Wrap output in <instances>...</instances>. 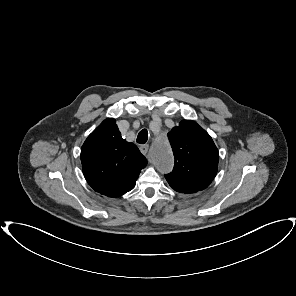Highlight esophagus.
Instances as JSON below:
<instances>
[{
	"instance_id": "1",
	"label": "esophagus",
	"mask_w": 296,
	"mask_h": 296,
	"mask_svg": "<svg viewBox=\"0 0 296 296\" xmlns=\"http://www.w3.org/2000/svg\"><path fill=\"white\" fill-rule=\"evenodd\" d=\"M139 149H140V151H141V153H142L143 155H146V154L148 153V151H149V145H147V144H145V145H141V146L139 147Z\"/></svg>"
}]
</instances>
